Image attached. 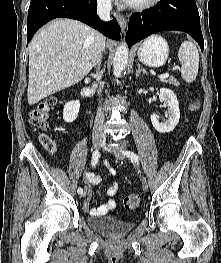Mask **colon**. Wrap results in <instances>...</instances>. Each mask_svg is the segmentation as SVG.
I'll list each match as a JSON object with an SVG mask.
<instances>
[{"label":"colon","mask_w":221,"mask_h":263,"mask_svg":"<svg viewBox=\"0 0 221 263\" xmlns=\"http://www.w3.org/2000/svg\"><path fill=\"white\" fill-rule=\"evenodd\" d=\"M56 103L55 99H49L37 105L30 112V122L39 131L44 132L49 126V113L51 107ZM192 111L197 110V104L193 103ZM140 204V196L138 194H130L124 198L123 206L126 210H133Z\"/></svg>","instance_id":"1"}]
</instances>
